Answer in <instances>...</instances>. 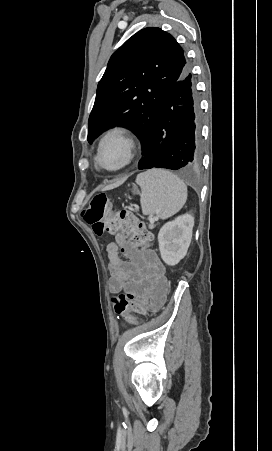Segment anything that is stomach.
<instances>
[{
	"label": "stomach",
	"mask_w": 272,
	"mask_h": 451,
	"mask_svg": "<svg viewBox=\"0 0 272 451\" xmlns=\"http://www.w3.org/2000/svg\"><path fill=\"white\" fill-rule=\"evenodd\" d=\"M133 192H134V194H139L137 188H134Z\"/></svg>",
	"instance_id": "1"
}]
</instances>
